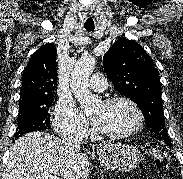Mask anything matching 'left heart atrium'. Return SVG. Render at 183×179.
Here are the masks:
<instances>
[{"label": "left heart atrium", "instance_id": "left-heart-atrium-1", "mask_svg": "<svg viewBox=\"0 0 183 179\" xmlns=\"http://www.w3.org/2000/svg\"><path fill=\"white\" fill-rule=\"evenodd\" d=\"M94 124L99 127V119L98 118H94Z\"/></svg>", "mask_w": 183, "mask_h": 179}]
</instances>
